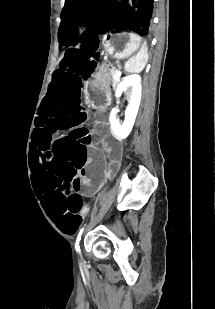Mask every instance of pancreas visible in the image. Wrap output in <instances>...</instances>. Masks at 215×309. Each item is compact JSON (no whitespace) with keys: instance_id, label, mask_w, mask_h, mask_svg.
<instances>
[{"instance_id":"cf45deb5","label":"pancreas","mask_w":215,"mask_h":309,"mask_svg":"<svg viewBox=\"0 0 215 309\" xmlns=\"http://www.w3.org/2000/svg\"><path fill=\"white\" fill-rule=\"evenodd\" d=\"M110 76H111V78H109V80H110L112 86H117V84H119V80H115V72H114V70H111Z\"/></svg>"}]
</instances>
